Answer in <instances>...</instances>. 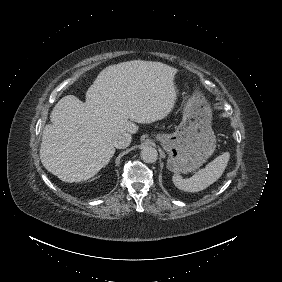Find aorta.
<instances>
[{
  "instance_id": "1",
  "label": "aorta",
  "mask_w": 282,
  "mask_h": 282,
  "mask_svg": "<svg viewBox=\"0 0 282 282\" xmlns=\"http://www.w3.org/2000/svg\"><path fill=\"white\" fill-rule=\"evenodd\" d=\"M141 159L145 162V163H154L157 161L158 159V152L157 150L152 147V146H145L142 150H141Z\"/></svg>"
}]
</instances>
